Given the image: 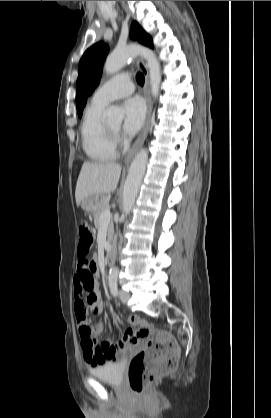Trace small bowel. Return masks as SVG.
<instances>
[{
	"label": "small bowel",
	"instance_id": "small-bowel-1",
	"mask_svg": "<svg viewBox=\"0 0 271 418\" xmlns=\"http://www.w3.org/2000/svg\"><path fill=\"white\" fill-rule=\"evenodd\" d=\"M98 260L90 256L76 257V275L74 276V309L76 322L81 336L83 358L92 367L106 362L116 361L122 354L129 352L137 344L135 331L129 328L123 338L114 344L107 339L101 344L97 343L98 337L103 332V324L97 323L89 326L88 311L100 314L103 311V301L97 284ZM84 313V314H81ZM88 328V332L85 329Z\"/></svg>",
	"mask_w": 271,
	"mask_h": 418
}]
</instances>
